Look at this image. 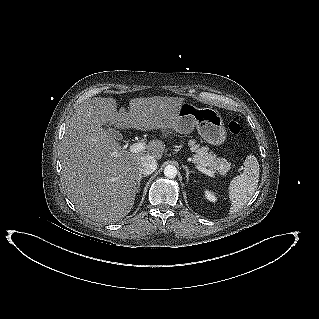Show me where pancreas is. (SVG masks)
Here are the masks:
<instances>
[{"mask_svg": "<svg viewBox=\"0 0 319 319\" xmlns=\"http://www.w3.org/2000/svg\"><path fill=\"white\" fill-rule=\"evenodd\" d=\"M193 155L192 162L203 168H208L213 173L219 172V174L225 176L231 168V163L224 158L217 157L209 150L207 146H199L194 140L189 141Z\"/></svg>", "mask_w": 319, "mask_h": 319, "instance_id": "cf45deb5", "label": "pancreas"}]
</instances>
